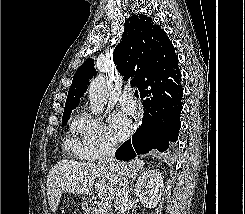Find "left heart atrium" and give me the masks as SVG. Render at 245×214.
Returning a JSON list of instances; mask_svg holds the SVG:
<instances>
[{
  "instance_id": "39dd6f15",
  "label": "left heart atrium",
  "mask_w": 245,
  "mask_h": 214,
  "mask_svg": "<svg viewBox=\"0 0 245 214\" xmlns=\"http://www.w3.org/2000/svg\"><path fill=\"white\" fill-rule=\"evenodd\" d=\"M110 131L115 141L124 140L130 133L128 121L120 114H113L109 119Z\"/></svg>"
}]
</instances>
